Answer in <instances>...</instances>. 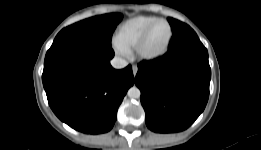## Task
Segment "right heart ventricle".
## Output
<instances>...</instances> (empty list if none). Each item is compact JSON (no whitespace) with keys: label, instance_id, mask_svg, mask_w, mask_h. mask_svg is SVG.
Listing matches in <instances>:
<instances>
[{"label":"right heart ventricle","instance_id":"1","mask_svg":"<svg viewBox=\"0 0 261 150\" xmlns=\"http://www.w3.org/2000/svg\"><path fill=\"white\" fill-rule=\"evenodd\" d=\"M156 16H136L123 22L117 29L115 42L127 52L134 49L144 30L155 20Z\"/></svg>","mask_w":261,"mask_h":150}]
</instances>
